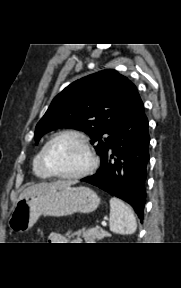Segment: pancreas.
<instances>
[{"instance_id": "pancreas-1", "label": "pancreas", "mask_w": 181, "mask_h": 288, "mask_svg": "<svg viewBox=\"0 0 181 288\" xmlns=\"http://www.w3.org/2000/svg\"><path fill=\"white\" fill-rule=\"evenodd\" d=\"M66 235L71 238L75 237L76 242H81L82 238L86 241V243H95V241L102 240L104 237H108L109 233L103 229H85L79 230L71 234V232L66 233ZM82 237V238H81Z\"/></svg>"}]
</instances>
